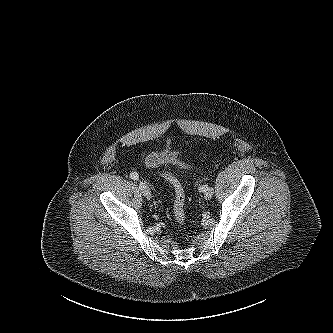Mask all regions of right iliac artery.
Returning a JSON list of instances; mask_svg holds the SVG:
<instances>
[{
    "label": "right iliac artery",
    "mask_w": 333,
    "mask_h": 333,
    "mask_svg": "<svg viewBox=\"0 0 333 333\" xmlns=\"http://www.w3.org/2000/svg\"><path fill=\"white\" fill-rule=\"evenodd\" d=\"M130 178L133 179V180H138L139 179V175L136 172H132L130 174Z\"/></svg>",
    "instance_id": "right-iliac-artery-1"
}]
</instances>
